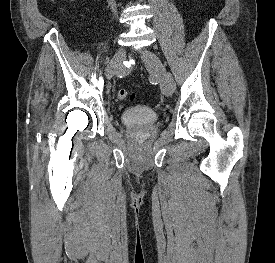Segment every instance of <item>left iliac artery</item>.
I'll list each match as a JSON object with an SVG mask.
<instances>
[{
	"label": "left iliac artery",
	"instance_id": "obj_1",
	"mask_svg": "<svg viewBox=\"0 0 275 263\" xmlns=\"http://www.w3.org/2000/svg\"><path fill=\"white\" fill-rule=\"evenodd\" d=\"M166 78L170 82V84L172 85L173 89H175L176 85H175V82H174V79H173L172 75L170 73H167Z\"/></svg>",
	"mask_w": 275,
	"mask_h": 263
}]
</instances>
